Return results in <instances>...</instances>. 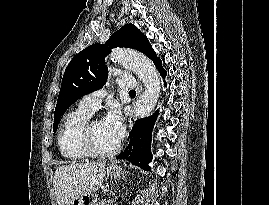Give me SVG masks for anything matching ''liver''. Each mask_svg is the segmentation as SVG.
<instances>
[{
	"label": "liver",
	"mask_w": 269,
	"mask_h": 205,
	"mask_svg": "<svg viewBox=\"0 0 269 205\" xmlns=\"http://www.w3.org/2000/svg\"><path fill=\"white\" fill-rule=\"evenodd\" d=\"M106 162L70 164L57 167L54 188L58 205H70L74 199L101 187Z\"/></svg>",
	"instance_id": "1"
}]
</instances>
